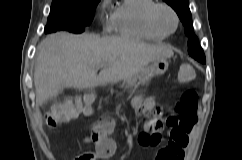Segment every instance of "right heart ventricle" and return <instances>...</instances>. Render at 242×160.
I'll return each mask as SVG.
<instances>
[{
  "instance_id": "1",
  "label": "right heart ventricle",
  "mask_w": 242,
  "mask_h": 160,
  "mask_svg": "<svg viewBox=\"0 0 242 160\" xmlns=\"http://www.w3.org/2000/svg\"><path fill=\"white\" fill-rule=\"evenodd\" d=\"M154 3V0H122L111 13V28L117 35L125 38L162 41L166 36L153 31L146 23V12Z\"/></svg>"
}]
</instances>
